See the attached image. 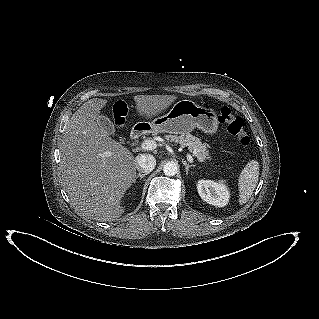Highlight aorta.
<instances>
[{
	"mask_svg": "<svg viewBox=\"0 0 319 319\" xmlns=\"http://www.w3.org/2000/svg\"><path fill=\"white\" fill-rule=\"evenodd\" d=\"M163 172L166 176H174L177 174V165L173 162H168L164 165Z\"/></svg>",
	"mask_w": 319,
	"mask_h": 319,
	"instance_id": "aorta-1",
	"label": "aorta"
}]
</instances>
